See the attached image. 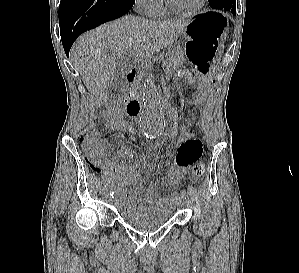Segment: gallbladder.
Returning a JSON list of instances; mask_svg holds the SVG:
<instances>
[{
	"instance_id": "obj_1",
	"label": "gallbladder",
	"mask_w": 299,
	"mask_h": 273,
	"mask_svg": "<svg viewBox=\"0 0 299 273\" xmlns=\"http://www.w3.org/2000/svg\"><path fill=\"white\" fill-rule=\"evenodd\" d=\"M130 65L123 60H120L117 67L115 68L110 83V96L112 98L121 97L125 90V76L130 70Z\"/></svg>"
}]
</instances>
